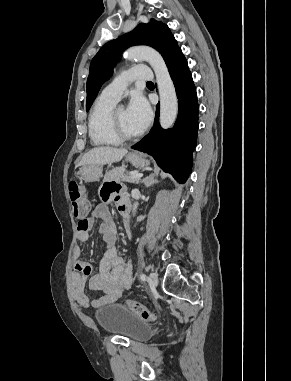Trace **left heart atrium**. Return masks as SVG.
<instances>
[{
    "label": "left heart atrium",
    "instance_id": "39dd6f15",
    "mask_svg": "<svg viewBox=\"0 0 291 381\" xmlns=\"http://www.w3.org/2000/svg\"><path fill=\"white\" fill-rule=\"evenodd\" d=\"M127 112L140 131L144 130L151 121V108L146 99L140 94L132 96Z\"/></svg>",
    "mask_w": 291,
    "mask_h": 381
}]
</instances>
